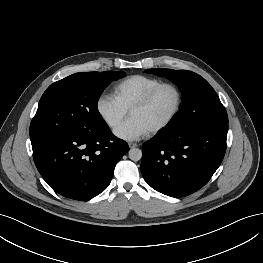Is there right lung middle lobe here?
I'll return each mask as SVG.
<instances>
[{
	"mask_svg": "<svg viewBox=\"0 0 263 263\" xmlns=\"http://www.w3.org/2000/svg\"><path fill=\"white\" fill-rule=\"evenodd\" d=\"M124 76L122 71L75 73L50 85L30 125L32 147L62 134L105 125L98 99L112 81Z\"/></svg>",
	"mask_w": 263,
	"mask_h": 263,
	"instance_id": "1",
	"label": "right lung middle lobe"
}]
</instances>
